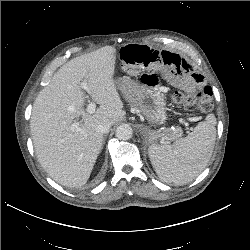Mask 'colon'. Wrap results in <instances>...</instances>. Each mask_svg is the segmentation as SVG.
<instances>
[{
  "mask_svg": "<svg viewBox=\"0 0 250 250\" xmlns=\"http://www.w3.org/2000/svg\"><path fill=\"white\" fill-rule=\"evenodd\" d=\"M171 100L179 107L188 110L199 109L208 112L213 107L212 91L208 86L194 92L175 91L171 94Z\"/></svg>",
  "mask_w": 250,
  "mask_h": 250,
  "instance_id": "colon-1",
  "label": "colon"
}]
</instances>
